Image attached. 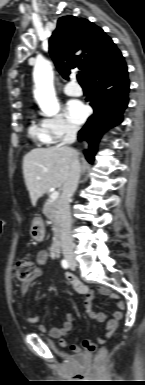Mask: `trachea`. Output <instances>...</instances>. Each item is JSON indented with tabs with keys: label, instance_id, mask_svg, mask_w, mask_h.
<instances>
[{
	"label": "trachea",
	"instance_id": "obj_1",
	"mask_svg": "<svg viewBox=\"0 0 145 385\" xmlns=\"http://www.w3.org/2000/svg\"><path fill=\"white\" fill-rule=\"evenodd\" d=\"M77 80H78V82H79L81 85L85 84V82H84V80L82 79V77H81L80 74L77 75Z\"/></svg>",
	"mask_w": 145,
	"mask_h": 385
}]
</instances>
